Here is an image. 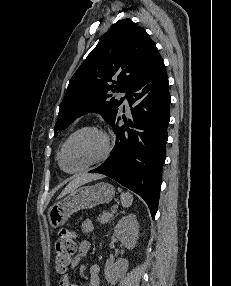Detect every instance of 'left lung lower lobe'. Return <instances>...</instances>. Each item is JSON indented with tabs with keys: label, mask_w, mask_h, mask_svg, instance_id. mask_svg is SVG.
Segmentation results:
<instances>
[{
	"label": "left lung lower lobe",
	"mask_w": 231,
	"mask_h": 286,
	"mask_svg": "<svg viewBox=\"0 0 231 286\" xmlns=\"http://www.w3.org/2000/svg\"><path fill=\"white\" fill-rule=\"evenodd\" d=\"M126 98L130 107L133 105L131 117L122 126L118 125L119 114L111 122L116 133L113 153L90 172L109 176L140 195L154 218L170 121L168 77L162 58L126 91Z\"/></svg>",
	"instance_id": "obj_1"
}]
</instances>
